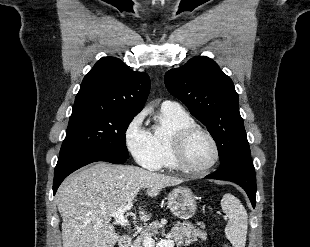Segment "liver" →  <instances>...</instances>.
<instances>
[{"instance_id": "obj_1", "label": "liver", "mask_w": 310, "mask_h": 247, "mask_svg": "<svg viewBox=\"0 0 310 247\" xmlns=\"http://www.w3.org/2000/svg\"><path fill=\"white\" fill-rule=\"evenodd\" d=\"M182 178L151 172L137 166L98 162L70 175L56 193L63 219V247H114L119 239L111 214L133 202L141 189L156 197ZM142 221L150 216L139 207Z\"/></svg>"}]
</instances>
